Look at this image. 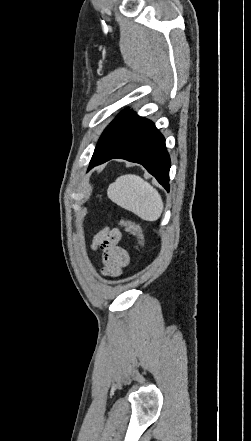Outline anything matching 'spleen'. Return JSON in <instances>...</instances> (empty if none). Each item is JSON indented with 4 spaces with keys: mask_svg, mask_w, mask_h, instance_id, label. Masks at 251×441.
Segmentation results:
<instances>
[{
    "mask_svg": "<svg viewBox=\"0 0 251 441\" xmlns=\"http://www.w3.org/2000/svg\"><path fill=\"white\" fill-rule=\"evenodd\" d=\"M107 195L120 207L146 221H156L164 204L158 191L140 176L126 174L109 185Z\"/></svg>",
    "mask_w": 251,
    "mask_h": 441,
    "instance_id": "spleen-1",
    "label": "spleen"
}]
</instances>
